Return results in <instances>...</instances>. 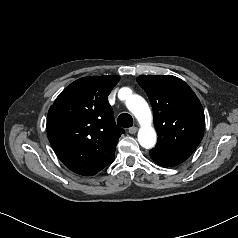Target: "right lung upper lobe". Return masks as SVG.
<instances>
[{
  "label": "right lung upper lobe",
  "instance_id": "obj_1",
  "mask_svg": "<svg viewBox=\"0 0 238 238\" xmlns=\"http://www.w3.org/2000/svg\"><path fill=\"white\" fill-rule=\"evenodd\" d=\"M119 76L80 78L66 87L47 116V135L62 163L91 176L112 163L124 130L115 124L108 95Z\"/></svg>",
  "mask_w": 238,
  "mask_h": 238
}]
</instances>
